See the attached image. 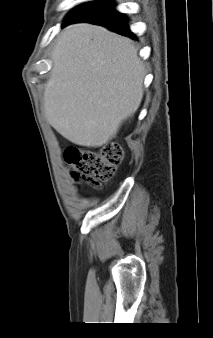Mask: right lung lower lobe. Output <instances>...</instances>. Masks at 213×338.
<instances>
[{
	"label": "right lung lower lobe",
	"mask_w": 213,
	"mask_h": 338,
	"mask_svg": "<svg viewBox=\"0 0 213 338\" xmlns=\"http://www.w3.org/2000/svg\"><path fill=\"white\" fill-rule=\"evenodd\" d=\"M127 18L115 9V4L110 0H98L87 3L71 14L62 26L77 22H89L107 27L124 36L136 39L127 26Z\"/></svg>",
	"instance_id": "1"
}]
</instances>
